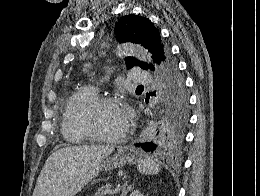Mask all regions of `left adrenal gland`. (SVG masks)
<instances>
[{
	"label": "left adrenal gland",
	"instance_id": "1",
	"mask_svg": "<svg viewBox=\"0 0 260 196\" xmlns=\"http://www.w3.org/2000/svg\"><path fill=\"white\" fill-rule=\"evenodd\" d=\"M132 186H133V184H132ZM132 186H128V182H125L121 196H127V194H129V192H131Z\"/></svg>",
	"mask_w": 260,
	"mask_h": 196
}]
</instances>
